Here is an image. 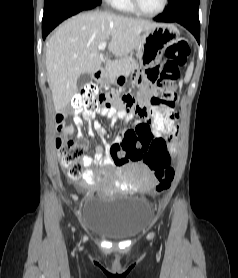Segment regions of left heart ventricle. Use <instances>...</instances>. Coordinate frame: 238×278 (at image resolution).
Segmentation results:
<instances>
[{"label": "left heart ventricle", "mask_w": 238, "mask_h": 278, "mask_svg": "<svg viewBox=\"0 0 238 278\" xmlns=\"http://www.w3.org/2000/svg\"><path fill=\"white\" fill-rule=\"evenodd\" d=\"M138 2L143 10L153 13L161 8L163 0H138Z\"/></svg>", "instance_id": "obj_1"}]
</instances>
